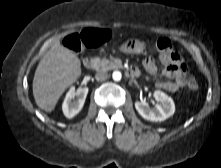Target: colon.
Segmentation results:
<instances>
[{"instance_id": "colon-1", "label": "colon", "mask_w": 221, "mask_h": 168, "mask_svg": "<svg viewBox=\"0 0 221 168\" xmlns=\"http://www.w3.org/2000/svg\"><path fill=\"white\" fill-rule=\"evenodd\" d=\"M110 30L108 29H96L88 28L80 33H73L66 36L63 40L65 47L72 51H81L84 48L96 47L102 42L110 38ZM156 47L160 55L168 56L173 51L171 41L167 38H160ZM191 90H197L198 85L193 75L190 74V80L186 83Z\"/></svg>"}]
</instances>
